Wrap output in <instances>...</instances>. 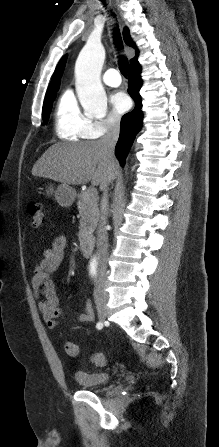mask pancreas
I'll use <instances>...</instances> for the list:
<instances>
[{"label": "pancreas", "mask_w": 219, "mask_h": 447, "mask_svg": "<svg viewBox=\"0 0 219 447\" xmlns=\"http://www.w3.org/2000/svg\"><path fill=\"white\" fill-rule=\"evenodd\" d=\"M88 190L78 194L77 206L81 216L78 238L83 242L90 236L97 224L99 218L98 196H88Z\"/></svg>", "instance_id": "cf45deb5"}]
</instances>
